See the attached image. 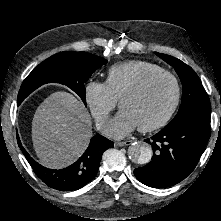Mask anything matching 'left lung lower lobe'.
Segmentation results:
<instances>
[{
  "label": "left lung lower lobe",
  "instance_id": "0a47b994",
  "mask_svg": "<svg viewBox=\"0 0 221 221\" xmlns=\"http://www.w3.org/2000/svg\"><path fill=\"white\" fill-rule=\"evenodd\" d=\"M210 131V122L201 120H188L173 129H162L151 140H145L152 144V161L135 169L134 175L154 188L179 183L195 169Z\"/></svg>",
  "mask_w": 221,
  "mask_h": 221
}]
</instances>
